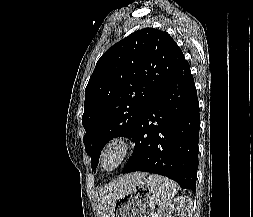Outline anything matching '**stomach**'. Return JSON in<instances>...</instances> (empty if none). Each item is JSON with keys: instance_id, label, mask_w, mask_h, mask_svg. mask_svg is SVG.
Instances as JSON below:
<instances>
[{"instance_id": "obj_1", "label": "stomach", "mask_w": 253, "mask_h": 217, "mask_svg": "<svg viewBox=\"0 0 253 217\" xmlns=\"http://www.w3.org/2000/svg\"><path fill=\"white\" fill-rule=\"evenodd\" d=\"M157 201V188L145 176L119 198L111 217H151Z\"/></svg>"}]
</instances>
